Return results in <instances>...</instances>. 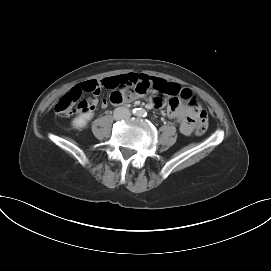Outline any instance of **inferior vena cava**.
<instances>
[{
	"label": "inferior vena cava",
	"instance_id": "1",
	"mask_svg": "<svg viewBox=\"0 0 271 271\" xmlns=\"http://www.w3.org/2000/svg\"><path fill=\"white\" fill-rule=\"evenodd\" d=\"M131 115L130 110L125 107H118L114 110V116L116 119H122Z\"/></svg>",
	"mask_w": 271,
	"mask_h": 271
}]
</instances>
